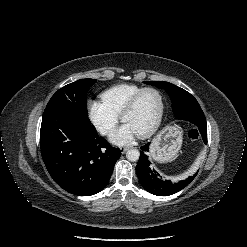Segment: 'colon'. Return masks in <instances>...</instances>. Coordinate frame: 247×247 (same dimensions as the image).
I'll list each match as a JSON object with an SVG mask.
<instances>
[{
	"label": "colon",
	"instance_id": "5ec220e1",
	"mask_svg": "<svg viewBox=\"0 0 247 247\" xmlns=\"http://www.w3.org/2000/svg\"><path fill=\"white\" fill-rule=\"evenodd\" d=\"M188 136L191 140H199L200 138V132L199 130H197L196 128H191L189 131H188Z\"/></svg>",
	"mask_w": 247,
	"mask_h": 247
}]
</instances>
